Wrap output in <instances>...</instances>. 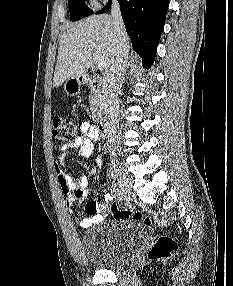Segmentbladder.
<instances>
[{"label": "bladder", "mask_w": 233, "mask_h": 286, "mask_svg": "<svg viewBox=\"0 0 233 286\" xmlns=\"http://www.w3.org/2000/svg\"><path fill=\"white\" fill-rule=\"evenodd\" d=\"M145 227L139 220L120 219L87 233L81 240L85 262L97 269H117L135 255L145 237Z\"/></svg>", "instance_id": "bladder-1"}]
</instances>
